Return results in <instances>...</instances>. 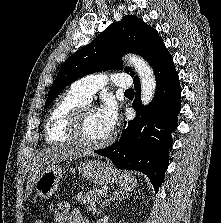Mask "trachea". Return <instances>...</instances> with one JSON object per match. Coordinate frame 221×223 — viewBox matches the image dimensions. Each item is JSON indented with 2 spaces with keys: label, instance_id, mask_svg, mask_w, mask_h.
<instances>
[{
  "label": "trachea",
  "instance_id": "3493384b",
  "mask_svg": "<svg viewBox=\"0 0 221 223\" xmlns=\"http://www.w3.org/2000/svg\"><path fill=\"white\" fill-rule=\"evenodd\" d=\"M125 94H134V90L133 89H127L125 91Z\"/></svg>",
  "mask_w": 221,
  "mask_h": 223
}]
</instances>
